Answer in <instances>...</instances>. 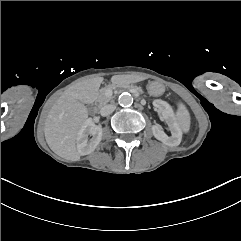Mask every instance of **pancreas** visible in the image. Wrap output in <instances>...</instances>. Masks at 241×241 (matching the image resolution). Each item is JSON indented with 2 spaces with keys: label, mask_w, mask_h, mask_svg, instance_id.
<instances>
[{
  "label": "pancreas",
  "mask_w": 241,
  "mask_h": 241,
  "mask_svg": "<svg viewBox=\"0 0 241 241\" xmlns=\"http://www.w3.org/2000/svg\"><path fill=\"white\" fill-rule=\"evenodd\" d=\"M106 88H103L100 90L99 97H98V102L100 105L108 103L110 100H112V97H107L105 94Z\"/></svg>",
  "instance_id": "cf45deb5"
}]
</instances>
